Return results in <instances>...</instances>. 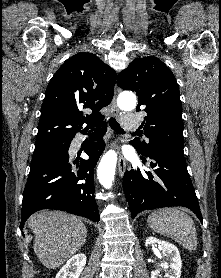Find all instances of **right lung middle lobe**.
Instances as JSON below:
<instances>
[{
  "mask_svg": "<svg viewBox=\"0 0 221 278\" xmlns=\"http://www.w3.org/2000/svg\"><path fill=\"white\" fill-rule=\"evenodd\" d=\"M67 140L68 139L57 140L35 146V151L33 153L30 166L36 165L37 163L45 159V157L48 156L51 152L61 148L67 142Z\"/></svg>",
  "mask_w": 221,
  "mask_h": 278,
  "instance_id": "right-lung-middle-lobe-1",
  "label": "right lung middle lobe"
}]
</instances>
